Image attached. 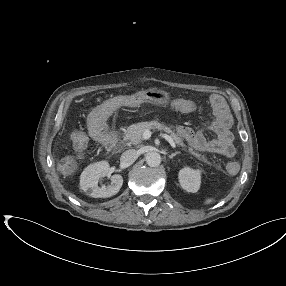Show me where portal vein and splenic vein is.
<instances>
[{
	"label": "portal vein and splenic vein",
	"instance_id": "portal-vein-and-splenic-vein-1",
	"mask_svg": "<svg viewBox=\"0 0 286 286\" xmlns=\"http://www.w3.org/2000/svg\"><path fill=\"white\" fill-rule=\"evenodd\" d=\"M151 134H152L151 131L149 129H146L143 133V138L145 140H147L151 137ZM160 136L163 137L164 139H166L173 148L176 147L173 139L169 135L164 134V133H160Z\"/></svg>",
	"mask_w": 286,
	"mask_h": 286
}]
</instances>
